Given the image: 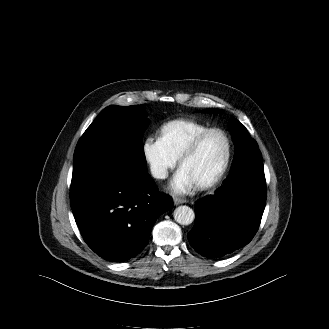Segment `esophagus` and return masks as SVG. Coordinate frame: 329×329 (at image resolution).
Here are the masks:
<instances>
[{"label": "esophagus", "instance_id": "obj_1", "mask_svg": "<svg viewBox=\"0 0 329 329\" xmlns=\"http://www.w3.org/2000/svg\"><path fill=\"white\" fill-rule=\"evenodd\" d=\"M173 202H174L175 205H179V204H182V203H186V200L180 199V198H174Z\"/></svg>", "mask_w": 329, "mask_h": 329}]
</instances>
